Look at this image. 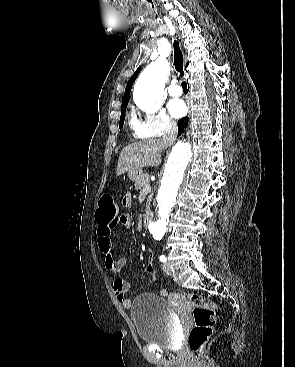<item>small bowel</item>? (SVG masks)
I'll use <instances>...</instances> for the list:
<instances>
[{"instance_id":"obj_1","label":"small bowel","mask_w":295,"mask_h":367,"mask_svg":"<svg viewBox=\"0 0 295 367\" xmlns=\"http://www.w3.org/2000/svg\"><path fill=\"white\" fill-rule=\"evenodd\" d=\"M130 203L131 197L130 195H126L123 198V205L129 206ZM97 222V244L99 250L104 257L105 267L116 276L113 281V291L122 306L128 309L131 307L132 301L126 297V293L131 289L132 284L129 280L120 276L121 271L127 266V259L124 257L115 258L113 256L111 235L112 231L118 225L130 228L132 223L131 218L129 215L121 213L119 217L110 222L102 223L98 220Z\"/></svg>"}]
</instances>
